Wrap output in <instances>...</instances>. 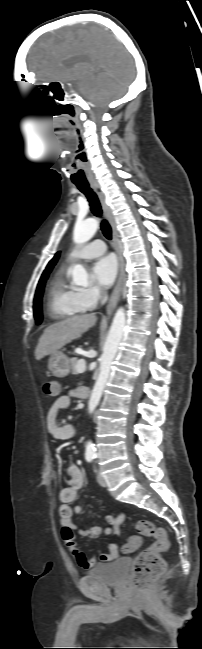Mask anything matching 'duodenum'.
I'll list each match as a JSON object with an SVG mask.
<instances>
[{"instance_id":"duodenum-1","label":"duodenum","mask_w":202,"mask_h":649,"mask_svg":"<svg viewBox=\"0 0 202 649\" xmlns=\"http://www.w3.org/2000/svg\"><path fill=\"white\" fill-rule=\"evenodd\" d=\"M89 394H90V391H89L87 388H84V394H83V396H84V397H87V396H89Z\"/></svg>"}]
</instances>
